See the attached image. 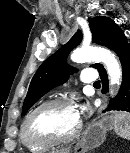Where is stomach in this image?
Instances as JSON below:
<instances>
[{"mask_svg":"<svg viewBox=\"0 0 130 153\" xmlns=\"http://www.w3.org/2000/svg\"><path fill=\"white\" fill-rule=\"evenodd\" d=\"M114 117L111 115L103 116L98 121L93 122L85 131L80 147L83 151L94 149L101 145L106 133L114 127Z\"/></svg>","mask_w":130,"mask_h":153,"instance_id":"0dacf381","label":"stomach"}]
</instances>
